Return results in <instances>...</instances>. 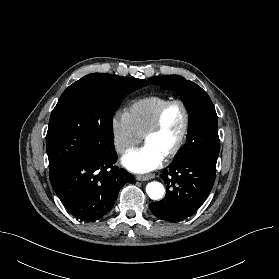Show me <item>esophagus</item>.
Here are the masks:
<instances>
[{
    "label": "esophagus",
    "mask_w": 279,
    "mask_h": 279,
    "mask_svg": "<svg viewBox=\"0 0 279 279\" xmlns=\"http://www.w3.org/2000/svg\"><path fill=\"white\" fill-rule=\"evenodd\" d=\"M154 178V175L153 174H148V175H138L136 176V179L139 180V181H147V180H150Z\"/></svg>",
    "instance_id": "esophagus-1"
}]
</instances>
